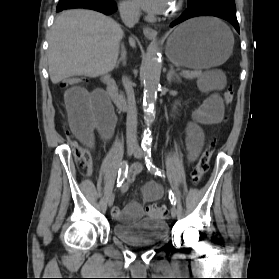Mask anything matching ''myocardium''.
Listing matches in <instances>:
<instances>
[{
  "label": "myocardium",
  "instance_id": "myocardium-1",
  "mask_svg": "<svg viewBox=\"0 0 279 279\" xmlns=\"http://www.w3.org/2000/svg\"><path fill=\"white\" fill-rule=\"evenodd\" d=\"M182 7L181 0H179L174 6V12H177Z\"/></svg>",
  "mask_w": 279,
  "mask_h": 279
}]
</instances>
